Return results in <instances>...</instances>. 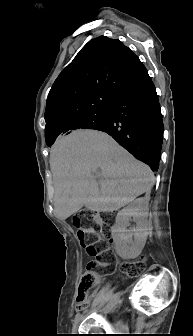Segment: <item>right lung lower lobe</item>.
Instances as JSON below:
<instances>
[{
  "label": "right lung lower lobe",
  "mask_w": 193,
  "mask_h": 336,
  "mask_svg": "<svg viewBox=\"0 0 193 336\" xmlns=\"http://www.w3.org/2000/svg\"><path fill=\"white\" fill-rule=\"evenodd\" d=\"M108 133L139 160L157 170L161 157L163 122L158 96L141 64L109 106Z\"/></svg>",
  "instance_id": "98d812e1"
}]
</instances>
